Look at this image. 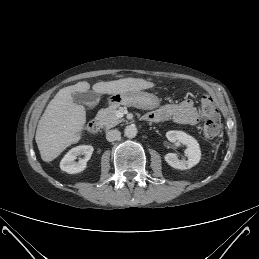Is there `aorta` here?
I'll return each mask as SVG.
<instances>
[{"label":"aorta","mask_w":259,"mask_h":259,"mask_svg":"<svg viewBox=\"0 0 259 259\" xmlns=\"http://www.w3.org/2000/svg\"><path fill=\"white\" fill-rule=\"evenodd\" d=\"M137 132L135 125H128L124 129V135L128 138H134L137 135Z\"/></svg>","instance_id":"1"}]
</instances>
